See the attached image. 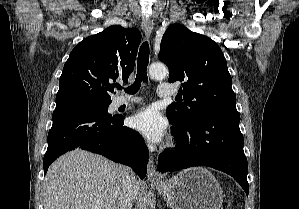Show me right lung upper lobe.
Returning a JSON list of instances; mask_svg holds the SVG:
<instances>
[{
    "mask_svg": "<svg viewBox=\"0 0 299 209\" xmlns=\"http://www.w3.org/2000/svg\"><path fill=\"white\" fill-rule=\"evenodd\" d=\"M141 33L120 25L89 36L70 53L56 95L57 104L111 102L112 82L128 77L134 69Z\"/></svg>",
    "mask_w": 299,
    "mask_h": 209,
    "instance_id": "obj_1",
    "label": "right lung upper lobe"
}]
</instances>
